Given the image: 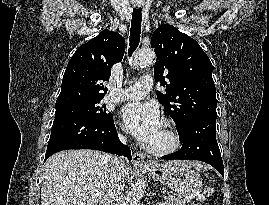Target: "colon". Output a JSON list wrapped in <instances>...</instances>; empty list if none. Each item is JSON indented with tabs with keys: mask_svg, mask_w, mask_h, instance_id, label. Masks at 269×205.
I'll list each match as a JSON object with an SVG mask.
<instances>
[{
	"mask_svg": "<svg viewBox=\"0 0 269 205\" xmlns=\"http://www.w3.org/2000/svg\"><path fill=\"white\" fill-rule=\"evenodd\" d=\"M193 205H201V204H193Z\"/></svg>",
	"mask_w": 269,
	"mask_h": 205,
	"instance_id": "obj_1",
	"label": "colon"
}]
</instances>
